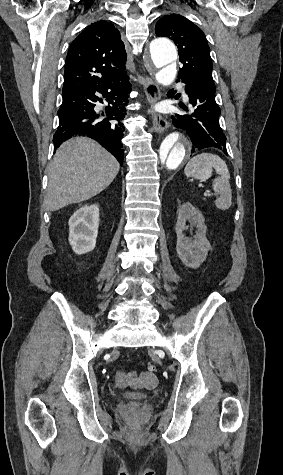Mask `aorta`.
I'll return each instance as SVG.
<instances>
[{
	"label": "aorta",
	"instance_id": "obj_1",
	"mask_svg": "<svg viewBox=\"0 0 283 475\" xmlns=\"http://www.w3.org/2000/svg\"><path fill=\"white\" fill-rule=\"evenodd\" d=\"M150 58L158 69L157 82L164 86L170 85L176 77V67L172 65L177 59L175 45L166 38L153 40L150 44ZM191 147V141L184 133L172 132L167 135L156 155V173L164 176L178 169L190 156Z\"/></svg>",
	"mask_w": 283,
	"mask_h": 475
}]
</instances>
